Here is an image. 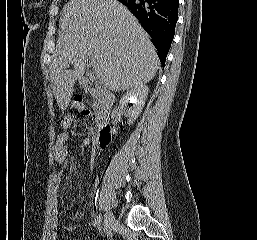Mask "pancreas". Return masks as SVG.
I'll return each instance as SVG.
<instances>
[{"label": "pancreas", "mask_w": 257, "mask_h": 240, "mask_svg": "<svg viewBox=\"0 0 257 240\" xmlns=\"http://www.w3.org/2000/svg\"><path fill=\"white\" fill-rule=\"evenodd\" d=\"M93 97V108L96 111L97 115L107 114L108 113V102L101 92L95 91L92 92ZM99 117L97 118V120Z\"/></svg>", "instance_id": "1"}]
</instances>
